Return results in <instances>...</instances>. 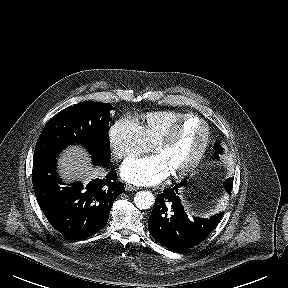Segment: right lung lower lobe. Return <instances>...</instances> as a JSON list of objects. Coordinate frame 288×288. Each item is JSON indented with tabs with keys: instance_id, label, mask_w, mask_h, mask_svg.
I'll return each instance as SVG.
<instances>
[{
	"instance_id": "right-lung-lower-lobe-1",
	"label": "right lung lower lobe",
	"mask_w": 288,
	"mask_h": 288,
	"mask_svg": "<svg viewBox=\"0 0 288 288\" xmlns=\"http://www.w3.org/2000/svg\"><path fill=\"white\" fill-rule=\"evenodd\" d=\"M108 163L97 165L106 167ZM32 175L37 200L49 223L72 239L99 232L108 221L116 197L125 190L122 183L116 182L113 169L105 178L85 186L80 182L65 185L56 172V158L34 160Z\"/></svg>"
}]
</instances>
